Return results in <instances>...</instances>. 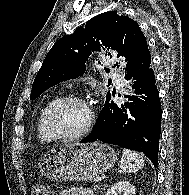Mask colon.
Masks as SVG:
<instances>
[{"label":"colon","mask_w":189,"mask_h":195,"mask_svg":"<svg viewBox=\"0 0 189 195\" xmlns=\"http://www.w3.org/2000/svg\"><path fill=\"white\" fill-rule=\"evenodd\" d=\"M31 195H51L46 187L37 185L32 189Z\"/></svg>","instance_id":"obj_1"}]
</instances>
